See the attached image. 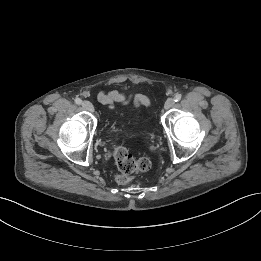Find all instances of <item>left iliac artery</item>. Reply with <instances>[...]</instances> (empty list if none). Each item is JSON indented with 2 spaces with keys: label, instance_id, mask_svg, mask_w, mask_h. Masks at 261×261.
I'll use <instances>...</instances> for the list:
<instances>
[{
  "label": "left iliac artery",
  "instance_id": "left-iliac-artery-1",
  "mask_svg": "<svg viewBox=\"0 0 261 261\" xmlns=\"http://www.w3.org/2000/svg\"><path fill=\"white\" fill-rule=\"evenodd\" d=\"M174 99H175V102L180 101L181 100V95L180 94H176Z\"/></svg>",
  "mask_w": 261,
  "mask_h": 261
}]
</instances>
